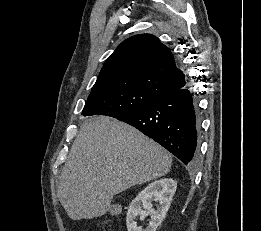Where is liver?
<instances>
[{"label": "liver", "instance_id": "liver-1", "mask_svg": "<svg viewBox=\"0 0 261 231\" xmlns=\"http://www.w3.org/2000/svg\"><path fill=\"white\" fill-rule=\"evenodd\" d=\"M172 157L132 126L108 116L86 120L59 178L58 198L72 220L104 215L113 197L166 175Z\"/></svg>", "mask_w": 261, "mask_h": 231}]
</instances>
